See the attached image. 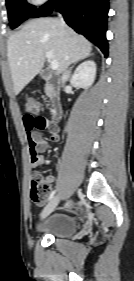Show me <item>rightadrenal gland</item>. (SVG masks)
<instances>
[{"instance_id": "obj_1", "label": "right adrenal gland", "mask_w": 134, "mask_h": 281, "mask_svg": "<svg viewBox=\"0 0 134 281\" xmlns=\"http://www.w3.org/2000/svg\"><path fill=\"white\" fill-rule=\"evenodd\" d=\"M90 55H92V54H90ZM90 55H89V56H90ZM73 67H74V66H73ZM73 67L71 68V70L73 69ZM71 70H70V73H71Z\"/></svg>"}]
</instances>
